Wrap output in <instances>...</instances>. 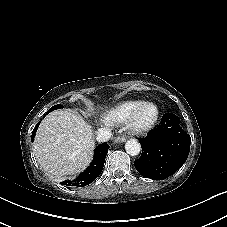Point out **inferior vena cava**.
Masks as SVG:
<instances>
[{
  "instance_id": "602c4592",
  "label": "inferior vena cava",
  "mask_w": 227,
  "mask_h": 227,
  "mask_svg": "<svg viewBox=\"0 0 227 227\" xmlns=\"http://www.w3.org/2000/svg\"><path fill=\"white\" fill-rule=\"evenodd\" d=\"M95 134L96 140L99 143L107 142L112 135L111 130L106 127L98 129Z\"/></svg>"
}]
</instances>
